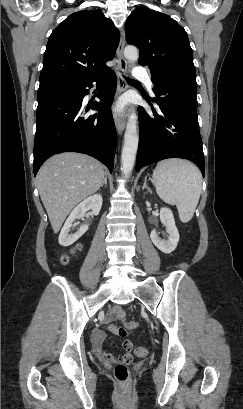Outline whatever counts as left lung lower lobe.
Returning <instances> with one entry per match:
<instances>
[{
	"label": "left lung lower lobe",
	"instance_id": "1",
	"mask_svg": "<svg viewBox=\"0 0 243 409\" xmlns=\"http://www.w3.org/2000/svg\"><path fill=\"white\" fill-rule=\"evenodd\" d=\"M159 110L138 107L140 137L136 171L166 158L194 162L204 177L205 161L197 118V84L194 76L169 77L154 84Z\"/></svg>",
	"mask_w": 243,
	"mask_h": 409
}]
</instances>
